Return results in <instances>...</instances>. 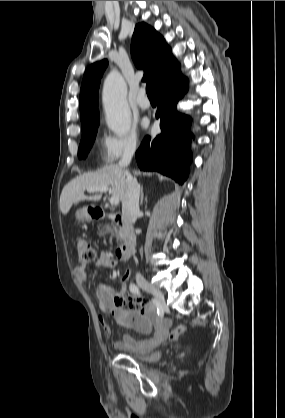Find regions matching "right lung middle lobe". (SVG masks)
<instances>
[{
    "mask_svg": "<svg viewBox=\"0 0 285 418\" xmlns=\"http://www.w3.org/2000/svg\"><path fill=\"white\" fill-rule=\"evenodd\" d=\"M99 120L82 126V138L78 149V157L85 158L96 137Z\"/></svg>",
    "mask_w": 285,
    "mask_h": 418,
    "instance_id": "obj_1",
    "label": "right lung middle lobe"
}]
</instances>
